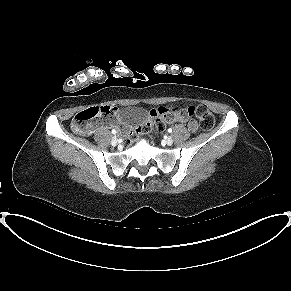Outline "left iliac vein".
<instances>
[{
	"mask_svg": "<svg viewBox=\"0 0 291 291\" xmlns=\"http://www.w3.org/2000/svg\"><path fill=\"white\" fill-rule=\"evenodd\" d=\"M166 144L167 145H172L173 144V138L171 136L166 138Z\"/></svg>",
	"mask_w": 291,
	"mask_h": 291,
	"instance_id": "4c4485c4",
	"label": "left iliac vein"
}]
</instances>
